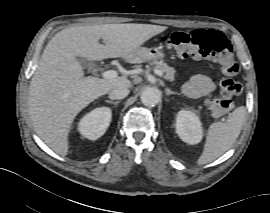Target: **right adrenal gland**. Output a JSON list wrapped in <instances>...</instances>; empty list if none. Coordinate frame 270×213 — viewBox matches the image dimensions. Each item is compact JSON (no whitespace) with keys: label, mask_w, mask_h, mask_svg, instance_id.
<instances>
[{"label":"right adrenal gland","mask_w":270,"mask_h":213,"mask_svg":"<svg viewBox=\"0 0 270 213\" xmlns=\"http://www.w3.org/2000/svg\"><path fill=\"white\" fill-rule=\"evenodd\" d=\"M107 103L113 104L115 106H117V104L119 103V101H112V100H106Z\"/></svg>","instance_id":"right-adrenal-gland-1"}]
</instances>
